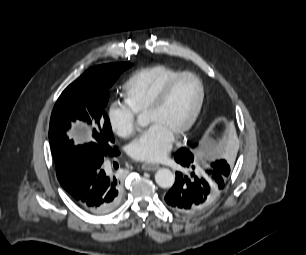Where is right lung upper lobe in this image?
Instances as JSON below:
<instances>
[{
  "label": "right lung upper lobe",
  "instance_id": "obj_1",
  "mask_svg": "<svg viewBox=\"0 0 306 255\" xmlns=\"http://www.w3.org/2000/svg\"><path fill=\"white\" fill-rule=\"evenodd\" d=\"M68 193L72 191L73 187L64 188Z\"/></svg>",
  "mask_w": 306,
  "mask_h": 255
}]
</instances>
